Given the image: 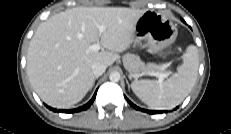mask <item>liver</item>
Segmentation results:
<instances>
[{"mask_svg":"<svg viewBox=\"0 0 231 134\" xmlns=\"http://www.w3.org/2000/svg\"><path fill=\"white\" fill-rule=\"evenodd\" d=\"M146 10L125 7H75L41 23L27 51L29 81L47 104L69 108L91 89L92 65L111 66L133 42L136 21ZM103 25V33L98 27ZM100 42L103 49L90 50ZM107 49V50H104Z\"/></svg>","mask_w":231,"mask_h":134,"instance_id":"1","label":"liver"}]
</instances>
